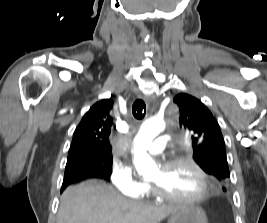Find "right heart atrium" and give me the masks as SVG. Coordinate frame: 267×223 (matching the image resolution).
Returning a JSON list of instances; mask_svg holds the SVG:
<instances>
[{
  "label": "right heart atrium",
  "instance_id": "right-heart-atrium-1",
  "mask_svg": "<svg viewBox=\"0 0 267 223\" xmlns=\"http://www.w3.org/2000/svg\"><path fill=\"white\" fill-rule=\"evenodd\" d=\"M111 182L120 194L131 197H140L147 188V185L136 177L133 168L126 163L113 164Z\"/></svg>",
  "mask_w": 267,
  "mask_h": 223
}]
</instances>
